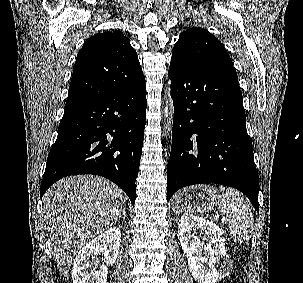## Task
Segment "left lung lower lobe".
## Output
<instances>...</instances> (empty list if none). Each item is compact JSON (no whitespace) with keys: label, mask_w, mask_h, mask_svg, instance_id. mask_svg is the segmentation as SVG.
<instances>
[{"label":"left lung lower lobe","mask_w":303,"mask_h":283,"mask_svg":"<svg viewBox=\"0 0 303 283\" xmlns=\"http://www.w3.org/2000/svg\"><path fill=\"white\" fill-rule=\"evenodd\" d=\"M174 105L167 198L182 187L217 183L243 192L258 211L259 178L233 66L171 60Z\"/></svg>","instance_id":"0a47b994"}]
</instances>
